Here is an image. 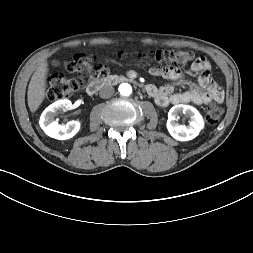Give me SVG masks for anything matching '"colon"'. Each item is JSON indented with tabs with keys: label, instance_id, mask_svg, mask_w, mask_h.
Here are the masks:
<instances>
[{
	"label": "colon",
	"instance_id": "5ec220e1",
	"mask_svg": "<svg viewBox=\"0 0 253 253\" xmlns=\"http://www.w3.org/2000/svg\"><path fill=\"white\" fill-rule=\"evenodd\" d=\"M126 56V54H122ZM140 57L148 58L155 62L159 68L162 64L173 63L177 67L184 66L193 60V53L186 50H151L139 54ZM66 70L70 73L87 78L90 82L98 78H105L110 74V65L105 61L95 62V58L84 53L75 54L67 63ZM82 86L80 78H67L63 75H54L48 79L46 96L49 100L62 99ZM223 115V108L217 103H210L206 107V120L209 124H216Z\"/></svg>",
	"mask_w": 253,
	"mask_h": 253
}]
</instances>
